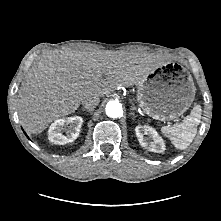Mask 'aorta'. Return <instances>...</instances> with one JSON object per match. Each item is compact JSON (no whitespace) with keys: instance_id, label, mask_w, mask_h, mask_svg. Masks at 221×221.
Here are the masks:
<instances>
[{"instance_id":"762f6f07","label":"aorta","mask_w":221,"mask_h":221,"mask_svg":"<svg viewBox=\"0 0 221 221\" xmlns=\"http://www.w3.org/2000/svg\"><path fill=\"white\" fill-rule=\"evenodd\" d=\"M106 114L111 118L121 117L123 115L122 105L118 101H109L106 105Z\"/></svg>"}]
</instances>
